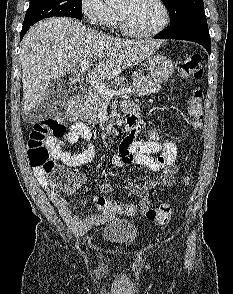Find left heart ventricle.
Returning a JSON list of instances; mask_svg holds the SVG:
<instances>
[{"instance_id": "1", "label": "left heart ventricle", "mask_w": 233, "mask_h": 294, "mask_svg": "<svg viewBox=\"0 0 233 294\" xmlns=\"http://www.w3.org/2000/svg\"><path fill=\"white\" fill-rule=\"evenodd\" d=\"M119 10L126 15L130 26L138 31H151L163 19L162 10L154 0H123Z\"/></svg>"}]
</instances>
